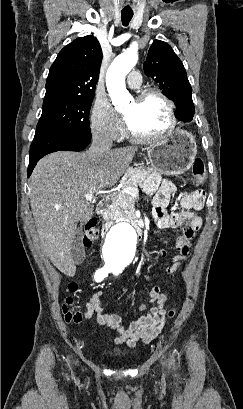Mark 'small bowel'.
Here are the masks:
<instances>
[{
	"instance_id": "1",
	"label": "small bowel",
	"mask_w": 243,
	"mask_h": 409,
	"mask_svg": "<svg viewBox=\"0 0 243 409\" xmlns=\"http://www.w3.org/2000/svg\"><path fill=\"white\" fill-rule=\"evenodd\" d=\"M146 190L153 194L152 215L159 229H177L183 227L182 233L177 237L175 255L170 261H165L162 270L169 277L170 286L175 288V274L182 261L186 259L192 245L195 233L202 226V219L194 211L200 210L205 201V192L195 190L183 193L179 198L182 209L180 212H168L167 206L170 198L176 192L175 185L167 180L162 181L158 176H153L146 185ZM159 255L166 257L167 253L160 250ZM151 307L148 312L143 313L129 325H125L121 316L105 310L103 305V292H96L85 306L84 317L89 319L96 314L97 321L117 332L118 336L111 342L115 344H127L135 347L138 342L149 343L161 332L163 327V316L167 296L161 292L160 287L153 286L146 296ZM136 310L144 312L147 309L145 303L135 307Z\"/></svg>"
}]
</instances>
